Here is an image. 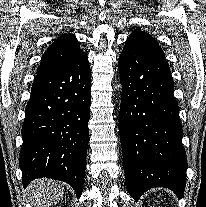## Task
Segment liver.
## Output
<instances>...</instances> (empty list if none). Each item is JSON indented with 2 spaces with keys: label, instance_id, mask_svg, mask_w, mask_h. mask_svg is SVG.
Here are the masks:
<instances>
[{
  "label": "liver",
  "instance_id": "obj_1",
  "mask_svg": "<svg viewBox=\"0 0 206 207\" xmlns=\"http://www.w3.org/2000/svg\"><path fill=\"white\" fill-rule=\"evenodd\" d=\"M28 193L35 207H51L62 198L64 186L61 182L41 178L30 183Z\"/></svg>",
  "mask_w": 206,
  "mask_h": 207
}]
</instances>
